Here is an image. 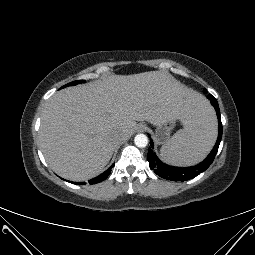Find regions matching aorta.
Here are the masks:
<instances>
[{
  "instance_id": "762f6f07",
  "label": "aorta",
  "mask_w": 255,
  "mask_h": 255,
  "mask_svg": "<svg viewBox=\"0 0 255 255\" xmlns=\"http://www.w3.org/2000/svg\"><path fill=\"white\" fill-rule=\"evenodd\" d=\"M134 143L139 148H144L148 144V137L145 134H137L134 138Z\"/></svg>"
}]
</instances>
